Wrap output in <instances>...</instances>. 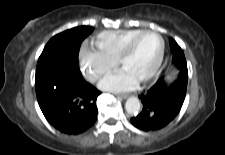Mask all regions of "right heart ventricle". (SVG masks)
<instances>
[{"instance_id": "obj_1", "label": "right heart ventricle", "mask_w": 225, "mask_h": 155, "mask_svg": "<svg viewBox=\"0 0 225 155\" xmlns=\"http://www.w3.org/2000/svg\"><path fill=\"white\" fill-rule=\"evenodd\" d=\"M140 31L141 29L102 31L95 36L94 44L100 52L112 59L117 60L127 41Z\"/></svg>"}]
</instances>
